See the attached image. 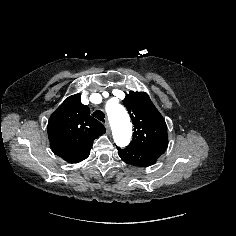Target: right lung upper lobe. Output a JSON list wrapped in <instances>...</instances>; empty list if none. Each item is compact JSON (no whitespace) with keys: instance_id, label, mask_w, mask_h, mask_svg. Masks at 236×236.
Listing matches in <instances>:
<instances>
[{"instance_id":"obj_1","label":"right lung upper lobe","mask_w":236,"mask_h":236,"mask_svg":"<svg viewBox=\"0 0 236 236\" xmlns=\"http://www.w3.org/2000/svg\"><path fill=\"white\" fill-rule=\"evenodd\" d=\"M47 132L56 155L68 163H79L89 156L94 139L106 129L90 116V109L81 103L78 93L66 98L54 111Z\"/></svg>"}]
</instances>
